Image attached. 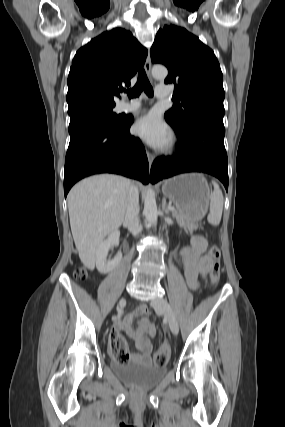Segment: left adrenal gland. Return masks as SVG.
<instances>
[{
    "mask_svg": "<svg viewBox=\"0 0 285 427\" xmlns=\"http://www.w3.org/2000/svg\"><path fill=\"white\" fill-rule=\"evenodd\" d=\"M162 210H163L166 214H169V211H168V209L166 208V199H165V198H163V200H162Z\"/></svg>",
    "mask_w": 285,
    "mask_h": 427,
    "instance_id": "obj_1",
    "label": "left adrenal gland"
}]
</instances>
